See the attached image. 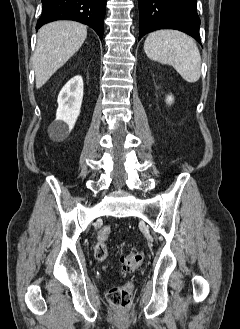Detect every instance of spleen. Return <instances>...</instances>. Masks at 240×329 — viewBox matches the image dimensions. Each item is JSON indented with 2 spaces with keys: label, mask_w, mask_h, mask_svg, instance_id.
<instances>
[{
  "label": "spleen",
  "mask_w": 240,
  "mask_h": 329,
  "mask_svg": "<svg viewBox=\"0 0 240 329\" xmlns=\"http://www.w3.org/2000/svg\"><path fill=\"white\" fill-rule=\"evenodd\" d=\"M146 55L163 64L172 65L181 77L194 83L201 75V56L194 40L175 30L150 33L144 43Z\"/></svg>",
  "instance_id": "obj_1"
}]
</instances>
